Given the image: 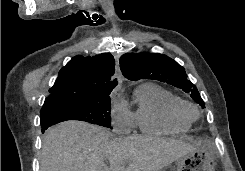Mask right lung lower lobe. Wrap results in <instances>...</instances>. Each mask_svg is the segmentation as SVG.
Segmentation results:
<instances>
[{
    "mask_svg": "<svg viewBox=\"0 0 245 171\" xmlns=\"http://www.w3.org/2000/svg\"><path fill=\"white\" fill-rule=\"evenodd\" d=\"M49 126L42 127V132H44Z\"/></svg>",
    "mask_w": 245,
    "mask_h": 171,
    "instance_id": "98d812e1",
    "label": "right lung lower lobe"
}]
</instances>
